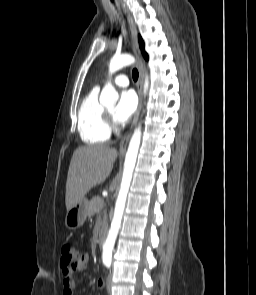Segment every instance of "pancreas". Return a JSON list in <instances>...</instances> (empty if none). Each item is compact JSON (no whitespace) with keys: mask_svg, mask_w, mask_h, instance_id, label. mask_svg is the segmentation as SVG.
I'll list each match as a JSON object with an SVG mask.
<instances>
[{"mask_svg":"<svg viewBox=\"0 0 256 295\" xmlns=\"http://www.w3.org/2000/svg\"><path fill=\"white\" fill-rule=\"evenodd\" d=\"M104 208V201L99 196H96L88 203L87 214L93 216L97 214L98 220H101L100 211Z\"/></svg>","mask_w":256,"mask_h":295,"instance_id":"1","label":"pancreas"}]
</instances>
